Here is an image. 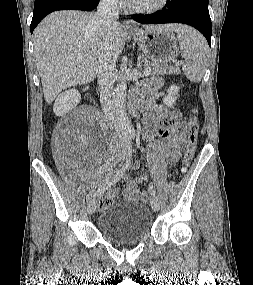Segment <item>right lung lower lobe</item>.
<instances>
[{
  "instance_id": "obj_1",
  "label": "right lung lower lobe",
  "mask_w": 253,
  "mask_h": 285,
  "mask_svg": "<svg viewBox=\"0 0 253 285\" xmlns=\"http://www.w3.org/2000/svg\"><path fill=\"white\" fill-rule=\"evenodd\" d=\"M98 3L99 0H35L30 31L32 33L38 23L53 11L70 9L91 11Z\"/></svg>"
}]
</instances>
